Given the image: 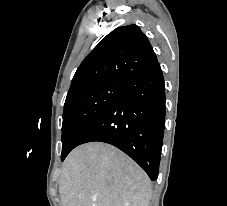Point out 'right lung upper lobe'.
Listing matches in <instances>:
<instances>
[{
	"label": "right lung upper lobe",
	"mask_w": 227,
	"mask_h": 206,
	"mask_svg": "<svg viewBox=\"0 0 227 206\" xmlns=\"http://www.w3.org/2000/svg\"><path fill=\"white\" fill-rule=\"evenodd\" d=\"M157 63L149 40L137 25L118 27L83 60L67 96L102 81L126 82Z\"/></svg>",
	"instance_id": "obj_1"
}]
</instances>
